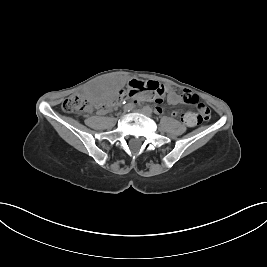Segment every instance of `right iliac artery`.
Listing matches in <instances>:
<instances>
[{"label": "right iliac artery", "instance_id": "1", "mask_svg": "<svg viewBox=\"0 0 267 267\" xmlns=\"http://www.w3.org/2000/svg\"><path fill=\"white\" fill-rule=\"evenodd\" d=\"M133 108H134V105L131 104V103H129V104H127V105L124 106L123 110H124V112H129V111H131Z\"/></svg>", "mask_w": 267, "mask_h": 267}]
</instances>
